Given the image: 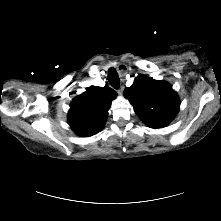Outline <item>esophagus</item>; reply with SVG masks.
<instances>
[{"instance_id":"1","label":"esophagus","mask_w":221,"mask_h":221,"mask_svg":"<svg viewBox=\"0 0 221 221\" xmlns=\"http://www.w3.org/2000/svg\"><path fill=\"white\" fill-rule=\"evenodd\" d=\"M123 90H124V87L121 86V87L119 88V90H118V93H119L120 95H122Z\"/></svg>"}]
</instances>
